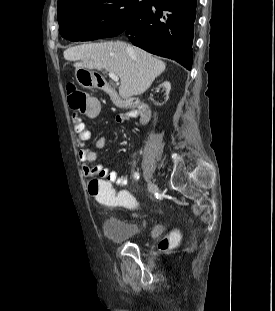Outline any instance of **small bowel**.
Segmentation results:
<instances>
[{"instance_id": "c3829d8e", "label": "small bowel", "mask_w": 275, "mask_h": 311, "mask_svg": "<svg viewBox=\"0 0 275 311\" xmlns=\"http://www.w3.org/2000/svg\"><path fill=\"white\" fill-rule=\"evenodd\" d=\"M139 114L140 113L136 110L130 111L128 113L118 115L116 120L117 122H124L130 118L138 117ZM73 129L76 134L78 159L82 165L83 175L87 179H93L97 176L99 178H108L109 183H115V185L119 187H124L127 184V176L125 174L119 175L117 171L111 170L103 164H94L97 159V152L87 146L90 133L85 123L77 115L73 118ZM105 145L106 138L104 136L99 137L94 144L96 149H103Z\"/></svg>"}]
</instances>
